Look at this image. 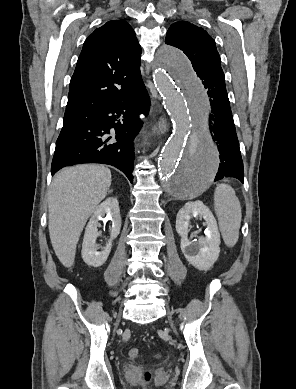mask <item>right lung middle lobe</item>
Instances as JSON below:
<instances>
[{"label":"right lung middle lobe","instance_id":"1","mask_svg":"<svg viewBox=\"0 0 296 389\" xmlns=\"http://www.w3.org/2000/svg\"><path fill=\"white\" fill-rule=\"evenodd\" d=\"M72 121H74V120H64V125L63 126L70 124Z\"/></svg>","mask_w":296,"mask_h":389}]
</instances>
